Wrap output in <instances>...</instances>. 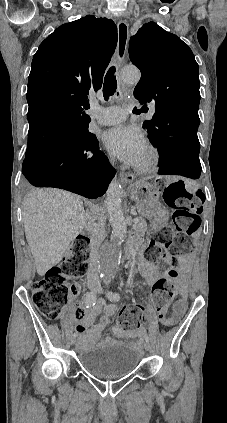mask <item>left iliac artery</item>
<instances>
[{
    "label": "left iliac artery",
    "mask_w": 227,
    "mask_h": 423,
    "mask_svg": "<svg viewBox=\"0 0 227 423\" xmlns=\"http://www.w3.org/2000/svg\"><path fill=\"white\" fill-rule=\"evenodd\" d=\"M106 295L110 301H119L120 299L119 293H113L112 291H107ZM144 339L146 342L148 343L150 342L149 336L145 335Z\"/></svg>",
    "instance_id": "left-iliac-artery-1"
}]
</instances>
